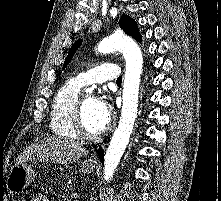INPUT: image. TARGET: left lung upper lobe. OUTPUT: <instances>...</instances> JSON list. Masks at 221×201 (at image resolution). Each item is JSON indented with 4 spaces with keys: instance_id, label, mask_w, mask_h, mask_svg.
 <instances>
[{
    "instance_id": "1",
    "label": "left lung upper lobe",
    "mask_w": 221,
    "mask_h": 201,
    "mask_svg": "<svg viewBox=\"0 0 221 201\" xmlns=\"http://www.w3.org/2000/svg\"><path fill=\"white\" fill-rule=\"evenodd\" d=\"M119 26L123 29V31L132 36L135 40L138 42H141V35L138 31L136 22L129 16H122L119 21ZM81 40H78L75 42V44L72 46L71 50L69 51L68 56L65 59L63 69L67 66V64L71 61L75 51L80 46Z\"/></svg>"
}]
</instances>
